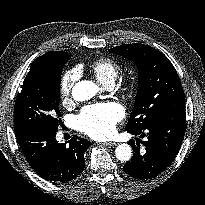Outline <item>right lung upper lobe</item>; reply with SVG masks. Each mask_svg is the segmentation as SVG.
I'll return each instance as SVG.
<instances>
[{"label": "right lung upper lobe", "instance_id": "cb5924a9", "mask_svg": "<svg viewBox=\"0 0 205 205\" xmlns=\"http://www.w3.org/2000/svg\"><path fill=\"white\" fill-rule=\"evenodd\" d=\"M67 57H69V55L64 51H50L34 60L29 72L53 66L65 60Z\"/></svg>", "mask_w": 205, "mask_h": 205}]
</instances>
